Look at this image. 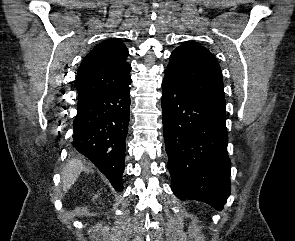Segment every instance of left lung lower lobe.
<instances>
[{"label": "left lung lower lobe", "instance_id": "1", "mask_svg": "<svg viewBox=\"0 0 295 241\" xmlns=\"http://www.w3.org/2000/svg\"><path fill=\"white\" fill-rule=\"evenodd\" d=\"M225 112L165 73L162 118L172 191L181 200L202 201L219 211L231 185Z\"/></svg>", "mask_w": 295, "mask_h": 241}]
</instances>
